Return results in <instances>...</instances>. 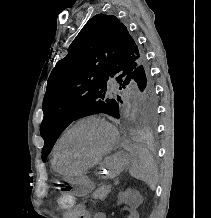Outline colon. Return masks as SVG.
I'll use <instances>...</instances> for the list:
<instances>
[{
  "label": "colon",
  "mask_w": 211,
  "mask_h": 218,
  "mask_svg": "<svg viewBox=\"0 0 211 218\" xmlns=\"http://www.w3.org/2000/svg\"><path fill=\"white\" fill-rule=\"evenodd\" d=\"M58 205L64 209H73L76 206L75 197L67 189H63L57 199Z\"/></svg>",
  "instance_id": "obj_1"
}]
</instances>
